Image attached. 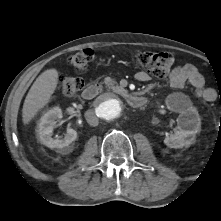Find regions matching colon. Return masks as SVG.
I'll list each match as a JSON object with an SVG mask.
<instances>
[{
	"label": "colon",
	"instance_id": "colon-1",
	"mask_svg": "<svg viewBox=\"0 0 221 221\" xmlns=\"http://www.w3.org/2000/svg\"><path fill=\"white\" fill-rule=\"evenodd\" d=\"M94 57L92 49L86 48L75 54L70 59V65L78 72L88 69ZM134 62L145 72L157 78H164L173 66V56L165 52L142 51L133 55ZM84 86L81 77L62 75L59 79V88L63 95L71 97L77 94ZM221 102V100H220Z\"/></svg>",
	"mask_w": 221,
	"mask_h": 221
}]
</instances>
